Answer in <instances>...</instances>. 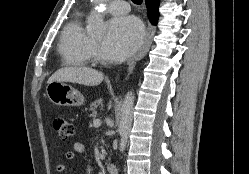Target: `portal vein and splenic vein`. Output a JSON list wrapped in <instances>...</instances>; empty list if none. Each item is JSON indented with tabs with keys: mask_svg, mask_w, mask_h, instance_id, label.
<instances>
[{
	"mask_svg": "<svg viewBox=\"0 0 249 174\" xmlns=\"http://www.w3.org/2000/svg\"><path fill=\"white\" fill-rule=\"evenodd\" d=\"M93 124H94L95 127H99L101 125V120L100 119H95L93 121Z\"/></svg>",
	"mask_w": 249,
	"mask_h": 174,
	"instance_id": "1",
	"label": "portal vein and splenic vein"
}]
</instances>
